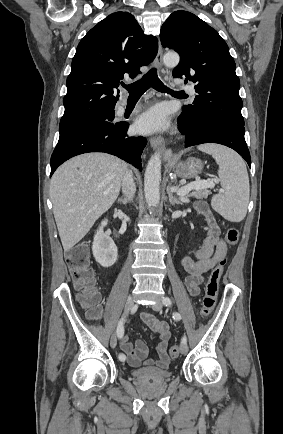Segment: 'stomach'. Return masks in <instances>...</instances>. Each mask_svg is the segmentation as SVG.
<instances>
[{"label": "stomach", "instance_id": "1", "mask_svg": "<svg viewBox=\"0 0 283 434\" xmlns=\"http://www.w3.org/2000/svg\"><path fill=\"white\" fill-rule=\"evenodd\" d=\"M203 163L199 159L190 158L176 167V174L181 178L191 179L196 177L202 170Z\"/></svg>", "mask_w": 283, "mask_h": 434}]
</instances>
